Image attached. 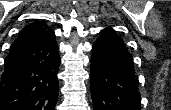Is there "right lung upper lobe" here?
Instances as JSON below:
<instances>
[{
    "label": "right lung upper lobe",
    "mask_w": 171,
    "mask_h": 110,
    "mask_svg": "<svg viewBox=\"0 0 171 110\" xmlns=\"http://www.w3.org/2000/svg\"><path fill=\"white\" fill-rule=\"evenodd\" d=\"M52 32L53 30L42 22L35 21L29 24L12 43L7 58H12L17 51L45 39Z\"/></svg>",
    "instance_id": "cb5924a9"
}]
</instances>
